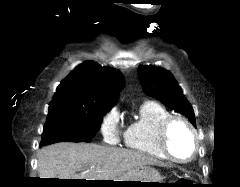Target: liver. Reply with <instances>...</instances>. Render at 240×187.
<instances>
[{"instance_id": "6515ba94", "label": "liver", "mask_w": 240, "mask_h": 187, "mask_svg": "<svg viewBox=\"0 0 240 187\" xmlns=\"http://www.w3.org/2000/svg\"><path fill=\"white\" fill-rule=\"evenodd\" d=\"M147 165L161 164L131 150L94 143L60 142L38 151L37 171L39 178L114 180Z\"/></svg>"}]
</instances>
